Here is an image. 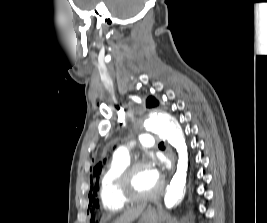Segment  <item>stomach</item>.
<instances>
[{
    "mask_svg": "<svg viewBox=\"0 0 267 223\" xmlns=\"http://www.w3.org/2000/svg\"><path fill=\"white\" fill-rule=\"evenodd\" d=\"M137 223H161V215L154 207H148Z\"/></svg>",
    "mask_w": 267,
    "mask_h": 223,
    "instance_id": "obj_1",
    "label": "stomach"
}]
</instances>
